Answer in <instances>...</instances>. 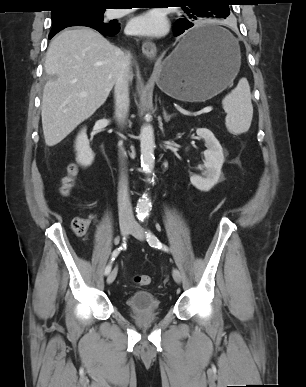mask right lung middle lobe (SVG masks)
I'll list each match as a JSON object with an SVG mask.
<instances>
[{
  "instance_id": "dd1d6c3e",
  "label": "right lung middle lobe",
  "mask_w": 306,
  "mask_h": 387,
  "mask_svg": "<svg viewBox=\"0 0 306 387\" xmlns=\"http://www.w3.org/2000/svg\"><path fill=\"white\" fill-rule=\"evenodd\" d=\"M104 12L105 8L94 6L62 8L57 12L51 13L53 23L51 32L58 33L60 30L71 26H87L91 28L111 27V24L103 22Z\"/></svg>"
}]
</instances>
